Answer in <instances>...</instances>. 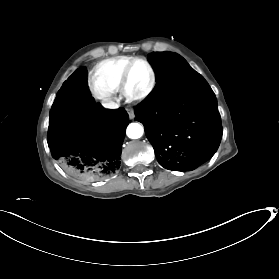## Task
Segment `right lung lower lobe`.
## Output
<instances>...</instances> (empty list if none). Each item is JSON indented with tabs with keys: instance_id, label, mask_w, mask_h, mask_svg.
I'll use <instances>...</instances> for the list:
<instances>
[{
	"instance_id": "98d812e1",
	"label": "right lung lower lobe",
	"mask_w": 279,
	"mask_h": 279,
	"mask_svg": "<svg viewBox=\"0 0 279 279\" xmlns=\"http://www.w3.org/2000/svg\"><path fill=\"white\" fill-rule=\"evenodd\" d=\"M86 68L64 82L52 105L48 146L54 159L72 176L98 180L120 167L128 114L124 108L103 113L86 82Z\"/></svg>"
}]
</instances>
